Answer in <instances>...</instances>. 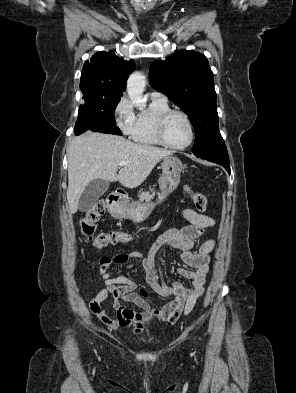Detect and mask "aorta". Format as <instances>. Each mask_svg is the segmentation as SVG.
Listing matches in <instances>:
<instances>
[{
    "label": "aorta",
    "instance_id": "aorta-1",
    "mask_svg": "<svg viewBox=\"0 0 296 393\" xmlns=\"http://www.w3.org/2000/svg\"><path fill=\"white\" fill-rule=\"evenodd\" d=\"M146 86L145 76L141 72H134L127 81V93L133 103L144 105L142 98Z\"/></svg>",
    "mask_w": 296,
    "mask_h": 393
}]
</instances>
